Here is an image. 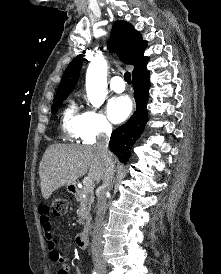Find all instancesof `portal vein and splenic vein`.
I'll return each instance as SVG.
<instances>
[{
  "mask_svg": "<svg viewBox=\"0 0 221 274\" xmlns=\"http://www.w3.org/2000/svg\"><path fill=\"white\" fill-rule=\"evenodd\" d=\"M93 180L92 179H90V178H84V180H83V185H84V187H86V188H88V189H91L92 188V186H93Z\"/></svg>",
  "mask_w": 221,
  "mask_h": 274,
  "instance_id": "portal-vein-and-splenic-vein-1",
  "label": "portal vein and splenic vein"
}]
</instances>
